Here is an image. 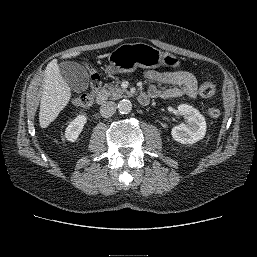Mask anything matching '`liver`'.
<instances>
[{
	"instance_id": "obj_1",
	"label": "liver",
	"mask_w": 257,
	"mask_h": 257,
	"mask_svg": "<svg viewBox=\"0 0 257 257\" xmlns=\"http://www.w3.org/2000/svg\"><path fill=\"white\" fill-rule=\"evenodd\" d=\"M80 52L63 55L61 58L79 56ZM110 54L99 55L105 58ZM71 98V89L60 74L57 60H52L46 67L44 85L40 102L39 122L41 128H46L66 107Z\"/></svg>"
}]
</instances>
